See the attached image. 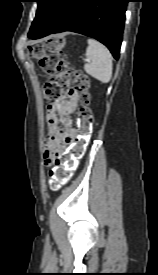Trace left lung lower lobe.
Returning <instances> with one entry per match:
<instances>
[{"label": "left lung lower lobe", "instance_id": "0a47b994", "mask_svg": "<svg viewBox=\"0 0 158 275\" xmlns=\"http://www.w3.org/2000/svg\"><path fill=\"white\" fill-rule=\"evenodd\" d=\"M128 0H60L31 39L72 31L93 37L119 58Z\"/></svg>", "mask_w": 158, "mask_h": 275}]
</instances>
